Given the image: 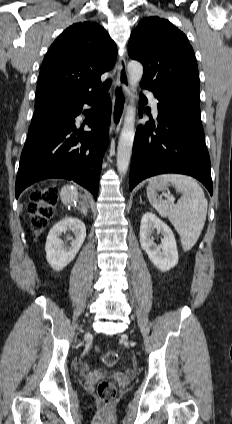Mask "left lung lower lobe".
Listing matches in <instances>:
<instances>
[{
	"label": "left lung lower lobe",
	"mask_w": 232,
	"mask_h": 424,
	"mask_svg": "<svg viewBox=\"0 0 232 424\" xmlns=\"http://www.w3.org/2000/svg\"><path fill=\"white\" fill-rule=\"evenodd\" d=\"M155 97L159 100L158 124L155 126L147 122L136 130L130 190L145 178L180 173L200 180L212 195L210 158L200 119L199 96L155 94ZM145 103L147 99L141 95L140 117L143 116L142 105ZM149 128L156 134L146 130Z\"/></svg>",
	"instance_id": "left-lung-lower-lobe-1"
}]
</instances>
